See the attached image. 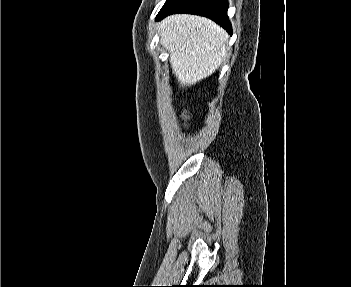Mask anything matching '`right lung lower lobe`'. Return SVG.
I'll return each mask as SVG.
<instances>
[{"mask_svg":"<svg viewBox=\"0 0 351 287\" xmlns=\"http://www.w3.org/2000/svg\"><path fill=\"white\" fill-rule=\"evenodd\" d=\"M227 0H167L157 15V20L173 13H189L210 18L232 34L227 17Z\"/></svg>","mask_w":351,"mask_h":287,"instance_id":"obj_1","label":"right lung lower lobe"}]
</instances>
